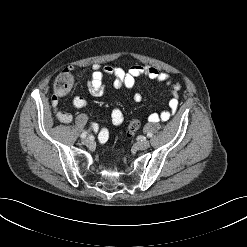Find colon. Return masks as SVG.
<instances>
[{"label":"colon","instance_id":"1","mask_svg":"<svg viewBox=\"0 0 247 247\" xmlns=\"http://www.w3.org/2000/svg\"><path fill=\"white\" fill-rule=\"evenodd\" d=\"M72 78L70 74L66 71L62 72L55 80L54 83V92L56 95L63 96L71 88ZM140 127V121L135 119L132 120L127 127V134L133 136Z\"/></svg>","mask_w":247,"mask_h":247}]
</instances>
